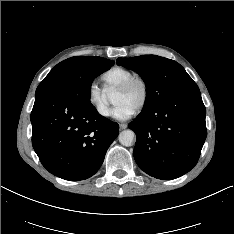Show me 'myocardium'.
I'll return each instance as SVG.
<instances>
[{
  "label": "myocardium",
  "instance_id": "f54148a6",
  "mask_svg": "<svg viewBox=\"0 0 234 234\" xmlns=\"http://www.w3.org/2000/svg\"><path fill=\"white\" fill-rule=\"evenodd\" d=\"M134 85H139L142 90V96L139 104L135 108L136 112H139L144 109L149 99V85L147 81L139 75H133L125 82H123L120 86L116 88L117 92L125 93L129 91Z\"/></svg>",
  "mask_w": 234,
  "mask_h": 234
}]
</instances>
